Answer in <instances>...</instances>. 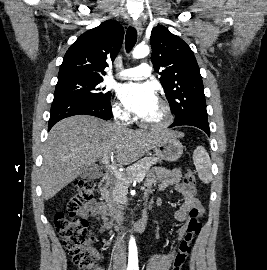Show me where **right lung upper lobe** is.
Wrapping results in <instances>:
<instances>
[{
    "label": "right lung upper lobe",
    "instance_id": "obj_1",
    "mask_svg": "<svg viewBox=\"0 0 267 270\" xmlns=\"http://www.w3.org/2000/svg\"><path fill=\"white\" fill-rule=\"evenodd\" d=\"M123 34L121 24L113 20L83 33L64 55L58 78L80 76L103 79L104 69L115 60L121 48Z\"/></svg>",
    "mask_w": 267,
    "mask_h": 270
}]
</instances>
